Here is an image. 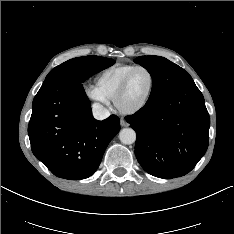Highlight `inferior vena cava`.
Here are the masks:
<instances>
[{
  "label": "inferior vena cava",
  "instance_id": "inferior-vena-cava-1",
  "mask_svg": "<svg viewBox=\"0 0 234 234\" xmlns=\"http://www.w3.org/2000/svg\"><path fill=\"white\" fill-rule=\"evenodd\" d=\"M92 113L97 120H104L110 116V112L99 103H94L92 105Z\"/></svg>",
  "mask_w": 234,
  "mask_h": 234
}]
</instances>
